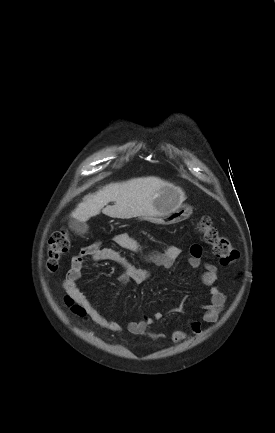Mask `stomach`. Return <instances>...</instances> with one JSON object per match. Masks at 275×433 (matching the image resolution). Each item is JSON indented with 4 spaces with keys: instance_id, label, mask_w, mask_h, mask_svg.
Masks as SVG:
<instances>
[{
    "instance_id": "stomach-1",
    "label": "stomach",
    "mask_w": 275,
    "mask_h": 433,
    "mask_svg": "<svg viewBox=\"0 0 275 433\" xmlns=\"http://www.w3.org/2000/svg\"><path fill=\"white\" fill-rule=\"evenodd\" d=\"M153 205L157 214L145 218L156 224H176L192 214L191 207L182 205L180 192L170 186L163 187L155 193Z\"/></svg>"
}]
</instances>
